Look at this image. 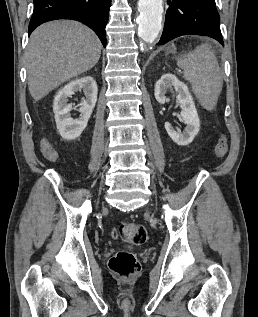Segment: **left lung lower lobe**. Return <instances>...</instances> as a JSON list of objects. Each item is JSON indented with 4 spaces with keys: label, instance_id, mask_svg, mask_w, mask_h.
I'll return each mask as SVG.
<instances>
[{
    "label": "left lung lower lobe",
    "instance_id": "left-lung-lower-lobe-1",
    "mask_svg": "<svg viewBox=\"0 0 258 317\" xmlns=\"http://www.w3.org/2000/svg\"><path fill=\"white\" fill-rule=\"evenodd\" d=\"M167 3L169 8L158 44L192 34L212 37L224 46L215 0H168Z\"/></svg>",
    "mask_w": 258,
    "mask_h": 317
}]
</instances>
